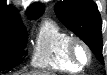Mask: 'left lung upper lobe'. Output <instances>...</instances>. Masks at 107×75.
Masks as SVG:
<instances>
[{
	"mask_svg": "<svg viewBox=\"0 0 107 75\" xmlns=\"http://www.w3.org/2000/svg\"><path fill=\"white\" fill-rule=\"evenodd\" d=\"M57 17L80 37L104 63L102 56V21L96 4L92 0H64L55 6Z\"/></svg>",
	"mask_w": 107,
	"mask_h": 75,
	"instance_id": "left-lung-upper-lobe-1",
	"label": "left lung upper lobe"
}]
</instances>
